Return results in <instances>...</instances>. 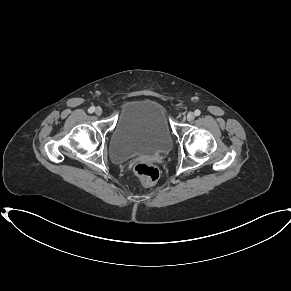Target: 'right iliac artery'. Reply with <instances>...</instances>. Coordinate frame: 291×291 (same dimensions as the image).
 Returning a JSON list of instances; mask_svg holds the SVG:
<instances>
[{
	"mask_svg": "<svg viewBox=\"0 0 291 291\" xmlns=\"http://www.w3.org/2000/svg\"><path fill=\"white\" fill-rule=\"evenodd\" d=\"M94 111H95V107H93V106L88 109L89 113H93Z\"/></svg>",
	"mask_w": 291,
	"mask_h": 291,
	"instance_id": "right-iliac-artery-1",
	"label": "right iliac artery"
}]
</instances>
